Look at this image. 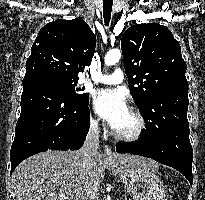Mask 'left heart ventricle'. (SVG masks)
I'll return each mask as SVG.
<instances>
[{"instance_id": "b2bd125f", "label": "left heart ventricle", "mask_w": 205, "mask_h": 200, "mask_svg": "<svg viewBox=\"0 0 205 200\" xmlns=\"http://www.w3.org/2000/svg\"><path fill=\"white\" fill-rule=\"evenodd\" d=\"M136 119L130 111L124 116L117 127L114 129L120 133H130L136 128Z\"/></svg>"}]
</instances>
